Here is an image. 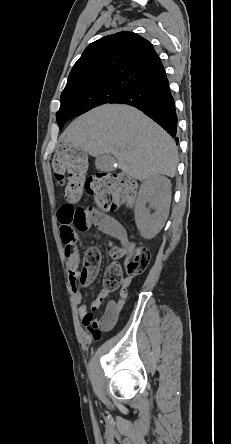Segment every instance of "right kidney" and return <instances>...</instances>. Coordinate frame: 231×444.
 Segmentation results:
<instances>
[{
    "mask_svg": "<svg viewBox=\"0 0 231 444\" xmlns=\"http://www.w3.org/2000/svg\"><path fill=\"white\" fill-rule=\"evenodd\" d=\"M171 202V182L165 176H153L142 183L135 205V222L144 238H152L163 228ZM149 203V208L146 204ZM151 209L155 210L153 214Z\"/></svg>",
    "mask_w": 231,
    "mask_h": 444,
    "instance_id": "1",
    "label": "right kidney"
}]
</instances>
